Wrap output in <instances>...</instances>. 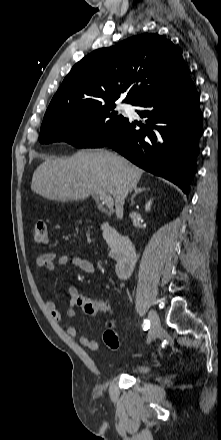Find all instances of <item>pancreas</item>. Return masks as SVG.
Here are the masks:
<instances>
[{"instance_id": "obj_1", "label": "pancreas", "mask_w": 221, "mask_h": 440, "mask_svg": "<svg viewBox=\"0 0 221 440\" xmlns=\"http://www.w3.org/2000/svg\"><path fill=\"white\" fill-rule=\"evenodd\" d=\"M116 258H119L121 256V251L118 249L115 251Z\"/></svg>"}]
</instances>
